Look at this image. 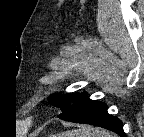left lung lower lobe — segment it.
<instances>
[{
	"label": "left lung lower lobe",
	"instance_id": "1",
	"mask_svg": "<svg viewBox=\"0 0 144 137\" xmlns=\"http://www.w3.org/2000/svg\"><path fill=\"white\" fill-rule=\"evenodd\" d=\"M61 111L62 113L58 115L60 119L99 126L126 137L122 122L107 113L105 103L89 99L86 93L81 94L71 105Z\"/></svg>",
	"mask_w": 144,
	"mask_h": 137
}]
</instances>
